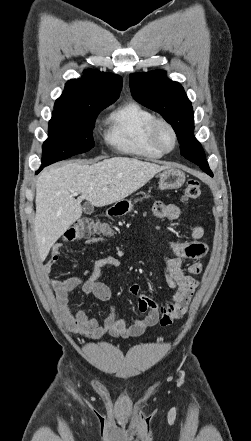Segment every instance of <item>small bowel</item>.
<instances>
[{
  "label": "small bowel",
  "mask_w": 251,
  "mask_h": 441,
  "mask_svg": "<svg viewBox=\"0 0 251 441\" xmlns=\"http://www.w3.org/2000/svg\"><path fill=\"white\" fill-rule=\"evenodd\" d=\"M153 213L162 219L176 220L184 215L181 208L174 204L157 201L153 206ZM204 229L194 225L190 231V240L185 242H172L170 248L173 256L161 255L167 283L175 291L172 300L159 306L152 298L142 293L141 286L134 283L129 286V292L138 299V308L144 316L127 324L117 317L115 305H111L109 314L104 318L90 317L85 311H73L70 307V294L78 287L82 288L85 295H93L98 300L109 302L112 291L108 285L99 281L105 268H117L121 262L114 256H107L95 260L86 278L79 276L69 277L64 280L54 279L50 276L52 268L60 258L61 243H56L50 258L41 267V274L52 288L60 316L67 329L83 338L96 340L108 333L113 337L132 338L142 335L148 328L160 324L169 326L175 319L183 317L189 307L192 296L198 286V275L203 270L200 259L208 250L206 243L201 241ZM102 242V238L93 237L86 241L87 244ZM151 254V252H145Z\"/></svg>",
  "instance_id": "obj_1"
}]
</instances>
